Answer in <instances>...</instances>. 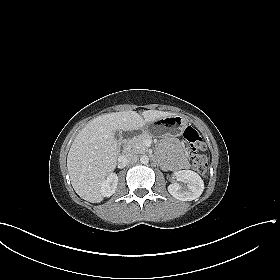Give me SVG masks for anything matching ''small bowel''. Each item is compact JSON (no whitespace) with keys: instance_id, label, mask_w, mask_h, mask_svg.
Returning a JSON list of instances; mask_svg holds the SVG:
<instances>
[{"instance_id":"small-bowel-1","label":"small bowel","mask_w":280,"mask_h":280,"mask_svg":"<svg viewBox=\"0 0 280 280\" xmlns=\"http://www.w3.org/2000/svg\"><path fill=\"white\" fill-rule=\"evenodd\" d=\"M186 147L182 143L172 145V157L171 159L165 160L163 166L166 169L180 171L187 168V161L185 159Z\"/></svg>"}]
</instances>
